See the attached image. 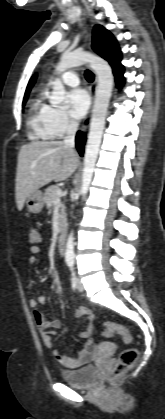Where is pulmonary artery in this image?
Instances as JSON below:
<instances>
[{
	"label": "pulmonary artery",
	"instance_id": "obj_1",
	"mask_svg": "<svg viewBox=\"0 0 165 419\" xmlns=\"http://www.w3.org/2000/svg\"><path fill=\"white\" fill-rule=\"evenodd\" d=\"M61 80L65 85L75 87L79 84V77L74 72H66L61 76Z\"/></svg>",
	"mask_w": 165,
	"mask_h": 419
}]
</instances>
